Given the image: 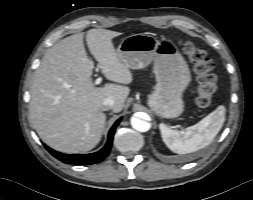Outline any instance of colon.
<instances>
[{
  "label": "colon",
  "instance_id": "colon-1",
  "mask_svg": "<svg viewBox=\"0 0 253 200\" xmlns=\"http://www.w3.org/2000/svg\"><path fill=\"white\" fill-rule=\"evenodd\" d=\"M182 49L197 74V104L200 107H208L216 92V76L212 72L214 64L204 49L191 42H183Z\"/></svg>",
  "mask_w": 253,
  "mask_h": 200
}]
</instances>
